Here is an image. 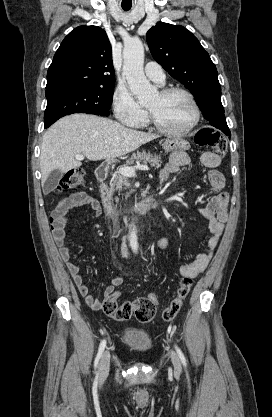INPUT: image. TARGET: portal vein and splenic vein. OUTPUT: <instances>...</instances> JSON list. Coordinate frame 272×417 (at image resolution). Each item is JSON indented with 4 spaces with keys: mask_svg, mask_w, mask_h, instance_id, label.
Instances as JSON below:
<instances>
[{
    "mask_svg": "<svg viewBox=\"0 0 272 417\" xmlns=\"http://www.w3.org/2000/svg\"><path fill=\"white\" fill-rule=\"evenodd\" d=\"M75 158L77 160H83L84 156L82 154H76ZM136 170L147 171L149 170V167L147 165L138 164L137 166H134V167H121L118 172L123 176L129 177V176H133Z\"/></svg>",
    "mask_w": 272,
    "mask_h": 417,
    "instance_id": "1",
    "label": "portal vein and splenic vein"
}]
</instances>
